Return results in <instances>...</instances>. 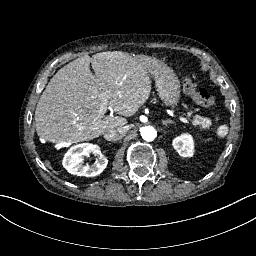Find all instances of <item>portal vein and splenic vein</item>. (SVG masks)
I'll return each mask as SVG.
<instances>
[{
    "label": "portal vein and splenic vein",
    "mask_w": 256,
    "mask_h": 256,
    "mask_svg": "<svg viewBox=\"0 0 256 256\" xmlns=\"http://www.w3.org/2000/svg\"><path fill=\"white\" fill-rule=\"evenodd\" d=\"M177 119H180V122L184 123V124H188L189 126H192V123L191 122H188L187 120L185 119H181V116H177Z\"/></svg>",
    "instance_id": "18ae733b"
}]
</instances>
